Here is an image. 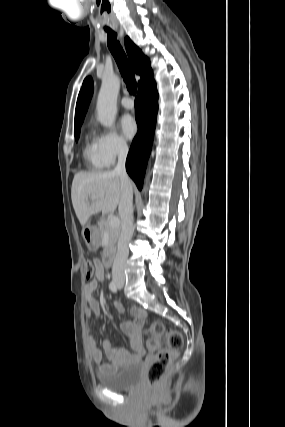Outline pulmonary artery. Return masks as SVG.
I'll list each match as a JSON object with an SVG mask.
<instances>
[{
	"label": "pulmonary artery",
	"instance_id": "obj_1",
	"mask_svg": "<svg viewBox=\"0 0 285 427\" xmlns=\"http://www.w3.org/2000/svg\"><path fill=\"white\" fill-rule=\"evenodd\" d=\"M121 105L126 109H132L134 107V101L129 97H124L121 100Z\"/></svg>",
	"mask_w": 285,
	"mask_h": 427
}]
</instances>
